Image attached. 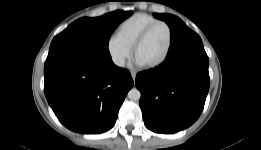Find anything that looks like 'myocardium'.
Returning <instances> with one entry per match:
<instances>
[{
	"instance_id": "obj_1",
	"label": "myocardium",
	"mask_w": 261,
	"mask_h": 150,
	"mask_svg": "<svg viewBox=\"0 0 261 150\" xmlns=\"http://www.w3.org/2000/svg\"><path fill=\"white\" fill-rule=\"evenodd\" d=\"M162 25L167 29L168 32V46H167V50L164 54V56L156 61L155 63H152L150 65H146L145 67L148 69H155L158 68L160 66H162L169 58L171 50H172V46H173V33H172V29L170 27V25L165 22V21H156L151 23L150 25H148L142 32L141 34L137 37L136 41L133 44L132 50H133V54L134 56H136V52L138 50V48L140 47V45L147 39V37L149 36V34L151 33V31L159 26Z\"/></svg>"
}]
</instances>
